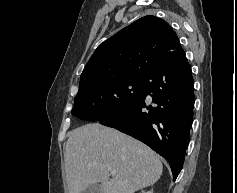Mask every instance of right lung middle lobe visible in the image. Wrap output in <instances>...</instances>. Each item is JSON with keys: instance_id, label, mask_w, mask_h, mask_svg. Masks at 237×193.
<instances>
[{"instance_id": "obj_1", "label": "right lung middle lobe", "mask_w": 237, "mask_h": 193, "mask_svg": "<svg viewBox=\"0 0 237 193\" xmlns=\"http://www.w3.org/2000/svg\"><path fill=\"white\" fill-rule=\"evenodd\" d=\"M143 77H123L80 88L71 113L83 120L98 121L130 104L140 93Z\"/></svg>"}]
</instances>
